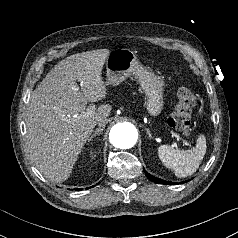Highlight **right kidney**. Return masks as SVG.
Masks as SVG:
<instances>
[{"label": "right kidney", "instance_id": "right-kidney-1", "mask_svg": "<svg viewBox=\"0 0 238 238\" xmlns=\"http://www.w3.org/2000/svg\"><path fill=\"white\" fill-rule=\"evenodd\" d=\"M90 154L92 155V154H93V152L91 151V152H90Z\"/></svg>", "mask_w": 238, "mask_h": 238}]
</instances>
